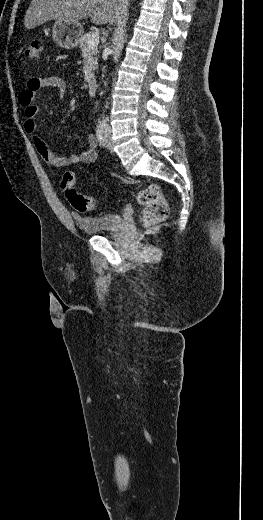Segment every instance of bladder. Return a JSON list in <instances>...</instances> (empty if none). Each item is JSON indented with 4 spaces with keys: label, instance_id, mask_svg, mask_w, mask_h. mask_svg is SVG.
I'll return each instance as SVG.
<instances>
[{
    "label": "bladder",
    "instance_id": "31cf9c89",
    "mask_svg": "<svg viewBox=\"0 0 263 520\" xmlns=\"http://www.w3.org/2000/svg\"><path fill=\"white\" fill-rule=\"evenodd\" d=\"M74 221L82 232L89 234L113 233L124 226V220L119 214L74 216Z\"/></svg>",
    "mask_w": 263,
    "mask_h": 520
}]
</instances>
